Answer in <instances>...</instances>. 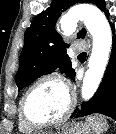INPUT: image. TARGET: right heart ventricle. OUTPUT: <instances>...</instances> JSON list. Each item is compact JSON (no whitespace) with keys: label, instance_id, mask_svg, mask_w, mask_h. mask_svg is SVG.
Here are the masks:
<instances>
[{"label":"right heart ventricle","instance_id":"right-heart-ventricle-1","mask_svg":"<svg viewBox=\"0 0 116 134\" xmlns=\"http://www.w3.org/2000/svg\"><path fill=\"white\" fill-rule=\"evenodd\" d=\"M18 128L21 132L23 133H30L34 130L33 127H30L28 126L23 120L22 118L20 117L19 115V118H18Z\"/></svg>","mask_w":116,"mask_h":134}]
</instances>
